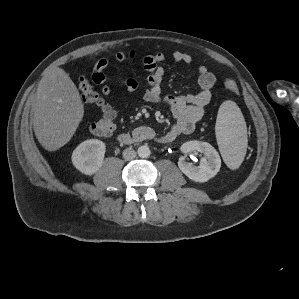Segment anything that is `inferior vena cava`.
<instances>
[{
    "instance_id": "602c4592",
    "label": "inferior vena cava",
    "mask_w": 299,
    "mask_h": 299,
    "mask_svg": "<svg viewBox=\"0 0 299 299\" xmlns=\"http://www.w3.org/2000/svg\"><path fill=\"white\" fill-rule=\"evenodd\" d=\"M136 157V152L134 149L132 148H126L124 151H123V158L125 160H132Z\"/></svg>"
}]
</instances>
